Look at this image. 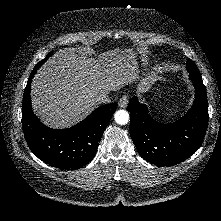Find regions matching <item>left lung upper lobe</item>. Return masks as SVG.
Masks as SVG:
<instances>
[{
	"instance_id": "obj_1",
	"label": "left lung upper lobe",
	"mask_w": 221,
	"mask_h": 221,
	"mask_svg": "<svg viewBox=\"0 0 221 221\" xmlns=\"http://www.w3.org/2000/svg\"><path fill=\"white\" fill-rule=\"evenodd\" d=\"M187 70L190 74L189 77L191 80L202 81V77L200 75L199 70L197 69L196 65L190 59L187 61Z\"/></svg>"
}]
</instances>
